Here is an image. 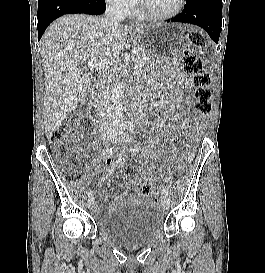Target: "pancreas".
Segmentation results:
<instances>
[{"label": "pancreas", "mask_w": 265, "mask_h": 273, "mask_svg": "<svg viewBox=\"0 0 265 273\" xmlns=\"http://www.w3.org/2000/svg\"><path fill=\"white\" fill-rule=\"evenodd\" d=\"M134 62L138 67H142L150 58L142 48H136L135 52L133 53Z\"/></svg>", "instance_id": "1"}]
</instances>
